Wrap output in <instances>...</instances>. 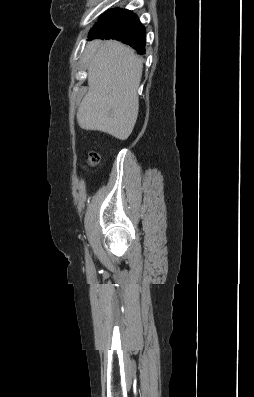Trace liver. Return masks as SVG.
<instances>
[{"mask_svg": "<svg viewBox=\"0 0 254 397\" xmlns=\"http://www.w3.org/2000/svg\"><path fill=\"white\" fill-rule=\"evenodd\" d=\"M82 61L88 70V92L78 108L79 126L126 140L138 116L143 59L118 41L93 40Z\"/></svg>", "mask_w": 254, "mask_h": 397, "instance_id": "obj_1", "label": "liver"}]
</instances>
